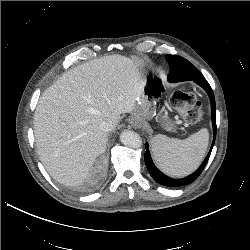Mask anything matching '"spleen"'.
I'll return each instance as SVG.
<instances>
[{"instance_id": "obj_1", "label": "spleen", "mask_w": 250, "mask_h": 250, "mask_svg": "<svg viewBox=\"0 0 250 250\" xmlns=\"http://www.w3.org/2000/svg\"><path fill=\"white\" fill-rule=\"evenodd\" d=\"M209 141L206 128L184 140L157 134L151 139L153 159L160 170L173 177L193 172L201 163Z\"/></svg>"}]
</instances>
